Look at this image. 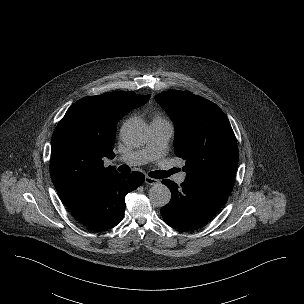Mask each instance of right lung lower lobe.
<instances>
[{
  "mask_svg": "<svg viewBox=\"0 0 304 304\" xmlns=\"http://www.w3.org/2000/svg\"><path fill=\"white\" fill-rule=\"evenodd\" d=\"M143 182L144 175L140 172H111L98 181L79 205L70 209L72 215L90 229H110L119 224L124 216L126 194Z\"/></svg>",
  "mask_w": 304,
  "mask_h": 304,
  "instance_id": "obj_1",
  "label": "right lung lower lobe"
}]
</instances>
